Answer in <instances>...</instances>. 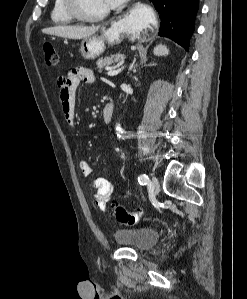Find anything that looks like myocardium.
Masks as SVG:
<instances>
[{
	"label": "myocardium",
	"instance_id": "obj_1",
	"mask_svg": "<svg viewBox=\"0 0 247 299\" xmlns=\"http://www.w3.org/2000/svg\"><path fill=\"white\" fill-rule=\"evenodd\" d=\"M64 3L68 14L73 19L82 22H97L106 18L110 13V9L108 8L99 14L88 15L82 10L80 0H64Z\"/></svg>",
	"mask_w": 247,
	"mask_h": 299
}]
</instances>
